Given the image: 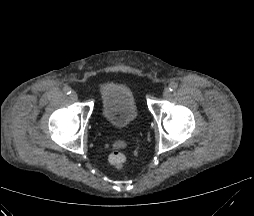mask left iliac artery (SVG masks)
<instances>
[{
    "mask_svg": "<svg viewBox=\"0 0 254 216\" xmlns=\"http://www.w3.org/2000/svg\"><path fill=\"white\" fill-rule=\"evenodd\" d=\"M177 88H178L177 83H174V82H173V83H171V84L169 85V90H170L171 92L176 91Z\"/></svg>",
    "mask_w": 254,
    "mask_h": 216,
    "instance_id": "left-iliac-artery-1",
    "label": "left iliac artery"
}]
</instances>
